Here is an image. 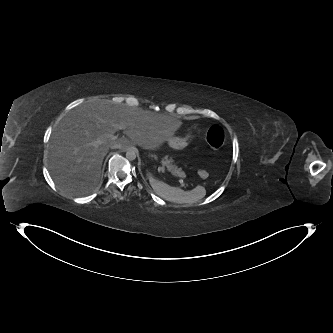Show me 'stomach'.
<instances>
[{"label": "stomach", "instance_id": "1", "mask_svg": "<svg viewBox=\"0 0 333 333\" xmlns=\"http://www.w3.org/2000/svg\"><path fill=\"white\" fill-rule=\"evenodd\" d=\"M201 129L198 126H194L191 131L185 136V138L170 137L167 141L170 145L176 149H183L191 142H194L198 138V134Z\"/></svg>", "mask_w": 333, "mask_h": 333}]
</instances>
